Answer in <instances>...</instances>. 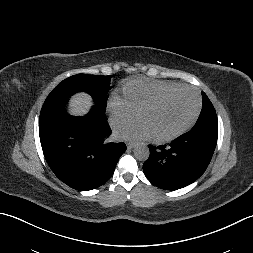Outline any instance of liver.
<instances>
[{"label":"liver","instance_id":"1","mask_svg":"<svg viewBox=\"0 0 253 253\" xmlns=\"http://www.w3.org/2000/svg\"><path fill=\"white\" fill-rule=\"evenodd\" d=\"M92 104L89 95L84 93L77 94L69 101V112L73 115H84L89 111Z\"/></svg>","mask_w":253,"mask_h":253}]
</instances>
